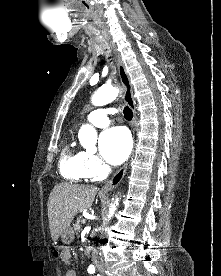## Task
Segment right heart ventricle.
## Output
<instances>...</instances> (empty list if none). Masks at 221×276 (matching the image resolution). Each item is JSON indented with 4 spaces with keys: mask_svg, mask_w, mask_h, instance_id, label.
I'll return each instance as SVG.
<instances>
[{
    "mask_svg": "<svg viewBox=\"0 0 221 276\" xmlns=\"http://www.w3.org/2000/svg\"><path fill=\"white\" fill-rule=\"evenodd\" d=\"M84 152L76 149L68 141L61 153L59 167L64 178L73 182H79L87 178L83 165Z\"/></svg>",
    "mask_w": 221,
    "mask_h": 276,
    "instance_id": "e07e8e85",
    "label": "right heart ventricle"
}]
</instances>
